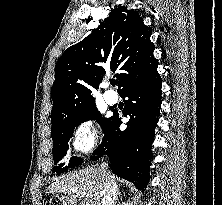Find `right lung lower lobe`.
<instances>
[{
  "instance_id": "98d812e1",
  "label": "right lung lower lobe",
  "mask_w": 222,
  "mask_h": 205,
  "mask_svg": "<svg viewBox=\"0 0 222 205\" xmlns=\"http://www.w3.org/2000/svg\"><path fill=\"white\" fill-rule=\"evenodd\" d=\"M162 81L157 67L149 73L131 80L119 92L125 100L123 115L130 116L127 128L120 130L122 124L119 114H114L106 130L101 145L90 157L97 161L103 155L110 159V168L117 176L133 182L144 190L149 183L148 173L153 154L151 143L154 128L158 123Z\"/></svg>"
}]
</instances>
